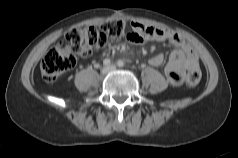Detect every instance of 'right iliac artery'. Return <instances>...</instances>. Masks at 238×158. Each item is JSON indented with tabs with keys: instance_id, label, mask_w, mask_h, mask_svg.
<instances>
[{
	"instance_id": "obj_1",
	"label": "right iliac artery",
	"mask_w": 238,
	"mask_h": 158,
	"mask_svg": "<svg viewBox=\"0 0 238 158\" xmlns=\"http://www.w3.org/2000/svg\"><path fill=\"white\" fill-rule=\"evenodd\" d=\"M103 64H104L105 66H109V65L111 64V61H110L109 59H105V60L103 61Z\"/></svg>"
}]
</instances>
